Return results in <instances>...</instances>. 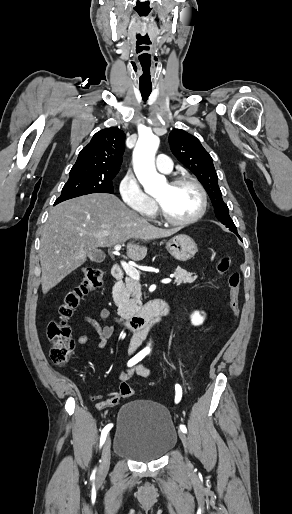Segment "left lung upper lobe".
Segmentation results:
<instances>
[{
  "mask_svg": "<svg viewBox=\"0 0 292 514\" xmlns=\"http://www.w3.org/2000/svg\"><path fill=\"white\" fill-rule=\"evenodd\" d=\"M169 144L174 156L190 169L203 184L212 201L216 218L230 231L237 234V228L229 215V209L222 199L217 173L210 154L196 137L181 129H174L170 132Z\"/></svg>",
  "mask_w": 292,
  "mask_h": 514,
  "instance_id": "1",
  "label": "left lung upper lobe"
}]
</instances>
